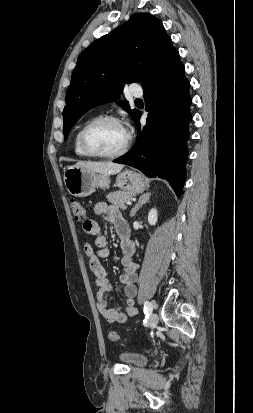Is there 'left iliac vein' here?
<instances>
[{
	"label": "left iliac vein",
	"mask_w": 253,
	"mask_h": 413,
	"mask_svg": "<svg viewBox=\"0 0 253 413\" xmlns=\"http://www.w3.org/2000/svg\"><path fill=\"white\" fill-rule=\"evenodd\" d=\"M158 320H159L158 315L156 313H153L150 317V320H149V327L150 328L155 327L158 323Z\"/></svg>",
	"instance_id": "obj_1"
}]
</instances>
